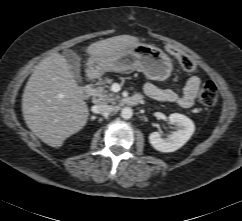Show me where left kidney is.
Listing matches in <instances>:
<instances>
[{
  "instance_id": "1",
  "label": "left kidney",
  "mask_w": 242,
  "mask_h": 221,
  "mask_svg": "<svg viewBox=\"0 0 242 221\" xmlns=\"http://www.w3.org/2000/svg\"><path fill=\"white\" fill-rule=\"evenodd\" d=\"M169 121L178 127L166 139L162 138L159 132H152L149 135L150 144L160 152H174L181 148L193 135L195 125L193 121L185 115L173 113L169 116Z\"/></svg>"
}]
</instances>
